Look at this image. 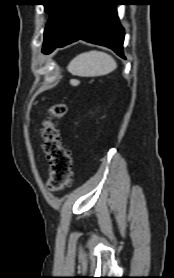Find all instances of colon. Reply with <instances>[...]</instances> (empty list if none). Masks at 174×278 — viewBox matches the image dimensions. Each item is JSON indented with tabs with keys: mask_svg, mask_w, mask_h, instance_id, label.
<instances>
[{
	"mask_svg": "<svg viewBox=\"0 0 174 278\" xmlns=\"http://www.w3.org/2000/svg\"><path fill=\"white\" fill-rule=\"evenodd\" d=\"M66 113V104H54L49 107L47 119L43 124V150L49 163L47 184L53 191L67 187L71 177V152L63 145L60 131L56 126V121L62 119Z\"/></svg>",
	"mask_w": 174,
	"mask_h": 278,
	"instance_id": "obj_1",
	"label": "colon"
}]
</instances>
